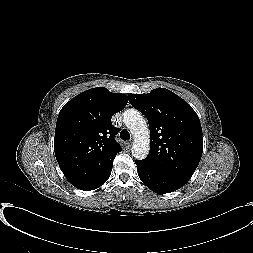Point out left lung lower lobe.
Masks as SVG:
<instances>
[{
  "instance_id": "obj_1",
  "label": "left lung lower lobe",
  "mask_w": 253,
  "mask_h": 253,
  "mask_svg": "<svg viewBox=\"0 0 253 253\" xmlns=\"http://www.w3.org/2000/svg\"><path fill=\"white\" fill-rule=\"evenodd\" d=\"M135 163L141 181L156 193L165 194L173 192L185 185V183L170 178L169 176L149 167L142 160H137Z\"/></svg>"
}]
</instances>
